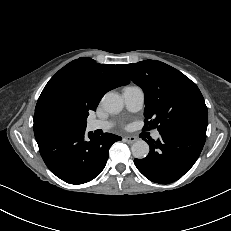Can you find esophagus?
Instances as JSON below:
<instances>
[{
	"label": "esophagus",
	"mask_w": 231,
	"mask_h": 231,
	"mask_svg": "<svg viewBox=\"0 0 231 231\" xmlns=\"http://www.w3.org/2000/svg\"><path fill=\"white\" fill-rule=\"evenodd\" d=\"M124 140H125L127 143H133V142H135V141L137 140V137H135V136H126V137L124 138Z\"/></svg>",
	"instance_id": "34e87169"
}]
</instances>
